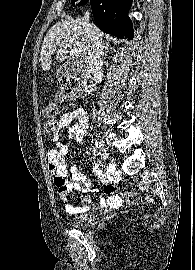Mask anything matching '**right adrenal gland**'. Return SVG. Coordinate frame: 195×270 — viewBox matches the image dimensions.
<instances>
[{"label": "right adrenal gland", "instance_id": "2a0ac1e0", "mask_svg": "<svg viewBox=\"0 0 195 270\" xmlns=\"http://www.w3.org/2000/svg\"><path fill=\"white\" fill-rule=\"evenodd\" d=\"M112 50H114L113 48H109V44L108 43H106V46H105V51L103 52V57H104V59L107 57V55H108V52L109 51H112ZM115 52V51H114Z\"/></svg>", "mask_w": 195, "mask_h": 270}]
</instances>
